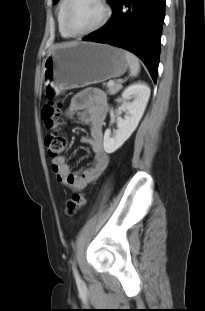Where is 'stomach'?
<instances>
[{
  "mask_svg": "<svg viewBox=\"0 0 205 311\" xmlns=\"http://www.w3.org/2000/svg\"><path fill=\"white\" fill-rule=\"evenodd\" d=\"M128 68L123 49L76 42L55 47L43 62L45 87L56 95L122 76Z\"/></svg>",
  "mask_w": 205,
  "mask_h": 311,
  "instance_id": "0dacf381",
  "label": "stomach"
}]
</instances>
